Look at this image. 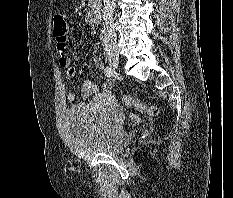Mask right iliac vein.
Masks as SVG:
<instances>
[{
	"instance_id": "obj_1",
	"label": "right iliac vein",
	"mask_w": 233,
	"mask_h": 198,
	"mask_svg": "<svg viewBox=\"0 0 233 198\" xmlns=\"http://www.w3.org/2000/svg\"><path fill=\"white\" fill-rule=\"evenodd\" d=\"M107 59L109 64L114 68H118L119 66V55L116 51H110L107 53Z\"/></svg>"
}]
</instances>
